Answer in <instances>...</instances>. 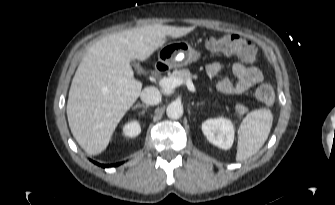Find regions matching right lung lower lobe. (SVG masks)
<instances>
[{
    "mask_svg": "<svg viewBox=\"0 0 335 205\" xmlns=\"http://www.w3.org/2000/svg\"><path fill=\"white\" fill-rule=\"evenodd\" d=\"M96 164L99 165V166H102V167L115 166V165H101V164H98V163H96ZM116 165H118V164H116Z\"/></svg>",
    "mask_w": 335,
    "mask_h": 205,
    "instance_id": "right-lung-lower-lobe-1",
    "label": "right lung lower lobe"
}]
</instances>
